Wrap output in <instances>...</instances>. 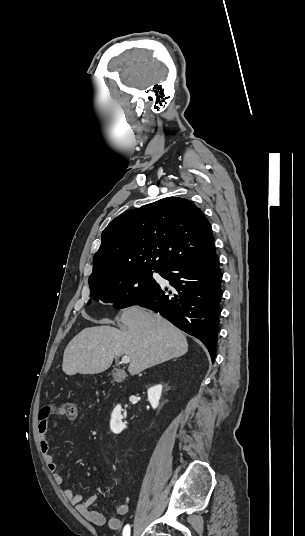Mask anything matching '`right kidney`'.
Instances as JSON below:
<instances>
[{"label": "right kidney", "mask_w": 305, "mask_h": 536, "mask_svg": "<svg viewBox=\"0 0 305 536\" xmlns=\"http://www.w3.org/2000/svg\"><path fill=\"white\" fill-rule=\"evenodd\" d=\"M162 388L163 386H161V384H158V386H153V388H149L148 400L152 408H158ZM121 412V406H116L111 414L110 430L111 432H114V434H120V432L126 428L125 424L122 422L123 418Z\"/></svg>", "instance_id": "ca27d5eb"}]
</instances>
